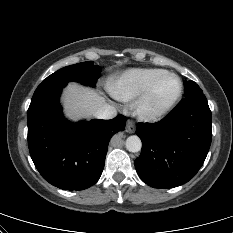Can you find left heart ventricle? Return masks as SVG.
Returning <instances> with one entry per match:
<instances>
[{"instance_id":"b2bd125f","label":"left heart ventricle","mask_w":233,"mask_h":233,"mask_svg":"<svg viewBox=\"0 0 233 233\" xmlns=\"http://www.w3.org/2000/svg\"><path fill=\"white\" fill-rule=\"evenodd\" d=\"M177 92V82L171 76H166L160 80L155 87L149 102L148 108L156 110L166 104Z\"/></svg>"}]
</instances>
